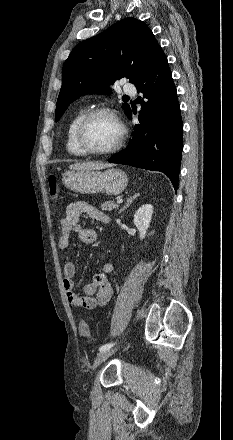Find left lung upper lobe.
I'll use <instances>...</instances> for the list:
<instances>
[{
	"mask_svg": "<svg viewBox=\"0 0 233 440\" xmlns=\"http://www.w3.org/2000/svg\"><path fill=\"white\" fill-rule=\"evenodd\" d=\"M162 52L152 31L135 18L116 22L101 34L82 41L62 68V87L56 104L58 121L71 102L82 95L110 94L109 85L126 77L133 84L143 78ZM128 115L130 107L123 104Z\"/></svg>",
	"mask_w": 233,
	"mask_h": 440,
	"instance_id": "obj_1",
	"label": "left lung upper lobe"
}]
</instances>
